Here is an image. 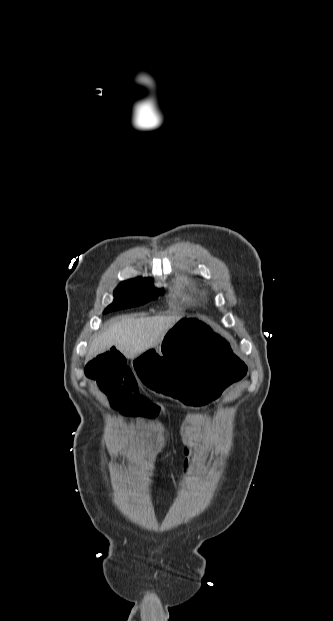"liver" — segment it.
<instances>
[{
    "label": "liver",
    "mask_w": 333,
    "mask_h": 621,
    "mask_svg": "<svg viewBox=\"0 0 333 621\" xmlns=\"http://www.w3.org/2000/svg\"><path fill=\"white\" fill-rule=\"evenodd\" d=\"M179 316L134 318L122 316L107 322L89 345L86 362L115 346L126 358L134 359L149 348L158 346Z\"/></svg>",
    "instance_id": "1"
}]
</instances>
